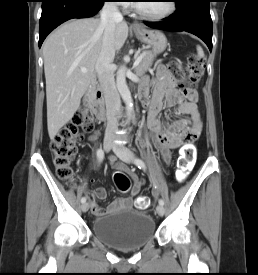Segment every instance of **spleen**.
Returning <instances> with one entry per match:
<instances>
[{"mask_svg": "<svg viewBox=\"0 0 258 275\" xmlns=\"http://www.w3.org/2000/svg\"><path fill=\"white\" fill-rule=\"evenodd\" d=\"M197 53L200 58L204 57L203 49L200 46H197Z\"/></svg>", "mask_w": 258, "mask_h": 275, "instance_id": "1", "label": "spleen"}]
</instances>
